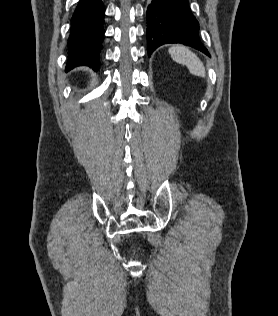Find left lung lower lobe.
Segmentation results:
<instances>
[{"mask_svg":"<svg viewBox=\"0 0 278 316\" xmlns=\"http://www.w3.org/2000/svg\"><path fill=\"white\" fill-rule=\"evenodd\" d=\"M147 44L149 56L168 43L191 46L210 56L199 38V23L188 0H152L147 8Z\"/></svg>","mask_w":278,"mask_h":316,"instance_id":"obj_1","label":"left lung lower lobe"}]
</instances>
